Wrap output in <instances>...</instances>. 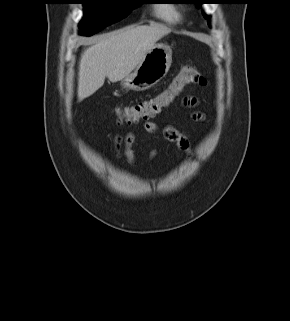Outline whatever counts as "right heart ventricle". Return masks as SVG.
<instances>
[{"label":"right heart ventricle","mask_w":290,"mask_h":321,"mask_svg":"<svg viewBox=\"0 0 290 321\" xmlns=\"http://www.w3.org/2000/svg\"><path fill=\"white\" fill-rule=\"evenodd\" d=\"M155 15L158 19L175 24L181 20V15L179 10L173 5H160L155 9Z\"/></svg>","instance_id":"right-heart-ventricle-1"}]
</instances>
